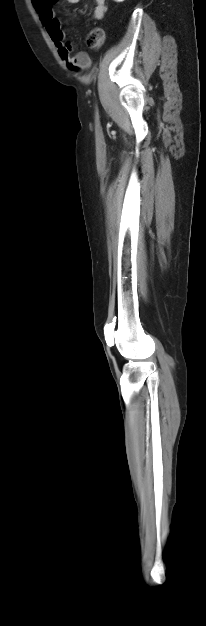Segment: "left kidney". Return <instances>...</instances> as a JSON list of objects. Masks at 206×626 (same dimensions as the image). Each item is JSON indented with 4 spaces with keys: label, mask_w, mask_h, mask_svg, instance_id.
I'll list each match as a JSON object with an SVG mask.
<instances>
[{
    "label": "left kidney",
    "mask_w": 206,
    "mask_h": 626,
    "mask_svg": "<svg viewBox=\"0 0 206 626\" xmlns=\"http://www.w3.org/2000/svg\"><path fill=\"white\" fill-rule=\"evenodd\" d=\"M114 1H115V2H123V1H125V0H114Z\"/></svg>",
    "instance_id": "5707ae66"
}]
</instances>
